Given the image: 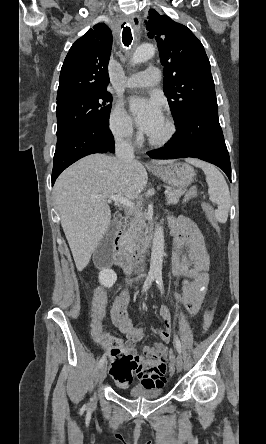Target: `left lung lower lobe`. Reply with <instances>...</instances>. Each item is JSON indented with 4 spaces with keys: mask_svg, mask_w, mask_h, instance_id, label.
Wrapping results in <instances>:
<instances>
[{
    "mask_svg": "<svg viewBox=\"0 0 266 444\" xmlns=\"http://www.w3.org/2000/svg\"><path fill=\"white\" fill-rule=\"evenodd\" d=\"M177 134L153 159L194 157L220 167L231 181V164L218 119V106L195 108L176 122Z\"/></svg>",
    "mask_w": 266,
    "mask_h": 444,
    "instance_id": "obj_1",
    "label": "left lung lower lobe"
}]
</instances>
